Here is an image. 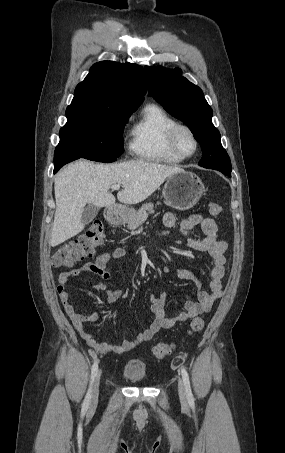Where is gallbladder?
<instances>
[{
    "label": "gallbladder",
    "instance_id": "1",
    "mask_svg": "<svg viewBox=\"0 0 285 453\" xmlns=\"http://www.w3.org/2000/svg\"><path fill=\"white\" fill-rule=\"evenodd\" d=\"M99 208L94 205H88L84 208L82 213V221L85 224L90 223L98 214Z\"/></svg>",
    "mask_w": 285,
    "mask_h": 453
}]
</instances>
